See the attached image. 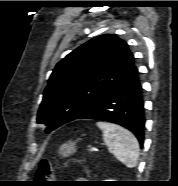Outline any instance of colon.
Returning <instances> with one entry per match:
<instances>
[{
	"mask_svg": "<svg viewBox=\"0 0 178 186\" xmlns=\"http://www.w3.org/2000/svg\"><path fill=\"white\" fill-rule=\"evenodd\" d=\"M54 178V167L50 159H43L38 165L36 179L43 182H52Z\"/></svg>",
	"mask_w": 178,
	"mask_h": 186,
	"instance_id": "1",
	"label": "colon"
}]
</instances>
